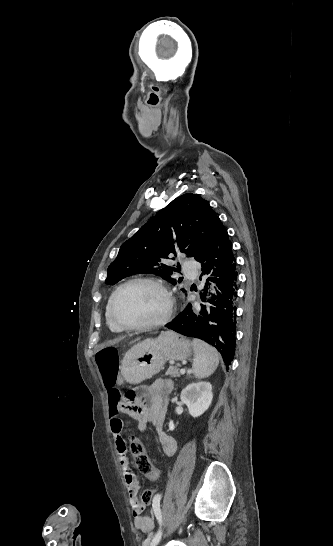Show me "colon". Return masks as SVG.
Instances as JSON below:
<instances>
[{"label":"colon","mask_w":333,"mask_h":546,"mask_svg":"<svg viewBox=\"0 0 333 546\" xmlns=\"http://www.w3.org/2000/svg\"><path fill=\"white\" fill-rule=\"evenodd\" d=\"M96 365L102 375L105 385L109 388V400L112 403L118 402L120 399V394L117 390L112 389L115 385L117 370H118V354L117 350L114 347H104L97 351L95 354ZM136 392L130 391L126 397L125 402L128 408H132L135 405ZM130 450L134 458L136 467L138 471L146 476L151 477L157 473H161L159 469H156L146 452L144 444L136 436L132 435L130 437ZM157 495L155 489H148L143 492L141 500L143 505H148L152 503Z\"/></svg>","instance_id":"colon-1"}]
</instances>
